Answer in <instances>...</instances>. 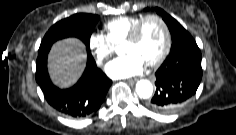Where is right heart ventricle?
Here are the masks:
<instances>
[{"label": "right heart ventricle", "mask_w": 236, "mask_h": 135, "mask_svg": "<svg viewBox=\"0 0 236 135\" xmlns=\"http://www.w3.org/2000/svg\"><path fill=\"white\" fill-rule=\"evenodd\" d=\"M142 17L143 15L120 16L109 20L104 24L106 36L114 45H121Z\"/></svg>", "instance_id": "right-heart-ventricle-1"}]
</instances>
